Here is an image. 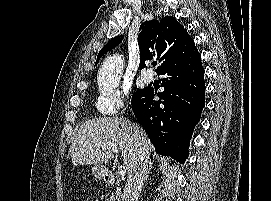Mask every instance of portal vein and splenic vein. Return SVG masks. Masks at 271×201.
Here are the masks:
<instances>
[{"label": "portal vein and splenic vein", "mask_w": 271, "mask_h": 201, "mask_svg": "<svg viewBox=\"0 0 271 201\" xmlns=\"http://www.w3.org/2000/svg\"><path fill=\"white\" fill-rule=\"evenodd\" d=\"M101 144H98L97 147H101ZM109 149H111L114 153L119 154L118 148L116 146H110ZM126 173V169L124 166H119L118 168V174L119 176L123 177Z\"/></svg>", "instance_id": "1"}]
</instances>
